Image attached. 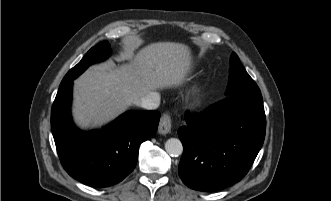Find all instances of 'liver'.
<instances>
[{
    "mask_svg": "<svg viewBox=\"0 0 331 201\" xmlns=\"http://www.w3.org/2000/svg\"><path fill=\"white\" fill-rule=\"evenodd\" d=\"M127 57L129 63L93 66L74 81L79 127L101 126L153 90L181 84L191 65L189 48L174 42L150 44L136 55L129 49Z\"/></svg>",
    "mask_w": 331,
    "mask_h": 201,
    "instance_id": "liver-1",
    "label": "liver"
}]
</instances>
